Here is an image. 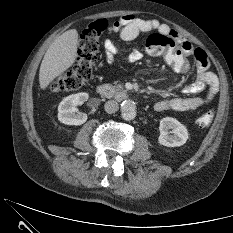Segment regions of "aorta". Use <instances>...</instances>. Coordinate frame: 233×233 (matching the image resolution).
Listing matches in <instances>:
<instances>
[{"label": "aorta", "instance_id": "aorta-1", "mask_svg": "<svg viewBox=\"0 0 233 233\" xmlns=\"http://www.w3.org/2000/svg\"><path fill=\"white\" fill-rule=\"evenodd\" d=\"M121 115L124 120H133L136 117V103L127 99L121 103Z\"/></svg>", "mask_w": 233, "mask_h": 233}]
</instances>
